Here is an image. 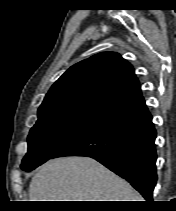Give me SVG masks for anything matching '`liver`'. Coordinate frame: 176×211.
I'll use <instances>...</instances> for the list:
<instances>
[{
    "instance_id": "1",
    "label": "liver",
    "mask_w": 176,
    "mask_h": 211,
    "mask_svg": "<svg viewBox=\"0 0 176 211\" xmlns=\"http://www.w3.org/2000/svg\"><path fill=\"white\" fill-rule=\"evenodd\" d=\"M30 201H142L131 185L96 160H49L33 176Z\"/></svg>"
}]
</instances>
